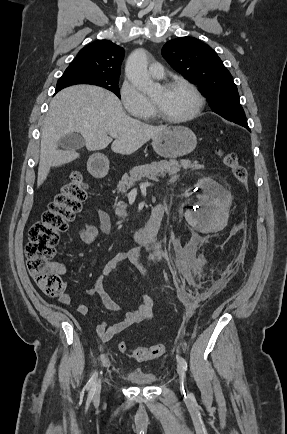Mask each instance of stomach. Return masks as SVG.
Wrapping results in <instances>:
<instances>
[{
	"instance_id": "obj_1",
	"label": "stomach",
	"mask_w": 287,
	"mask_h": 434,
	"mask_svg": "<svg viewBox=\"0 0 287 434\" xmlns=\"http://www.w3.org/2000/svg\"><path fill=\"white\" fill-rule=\"evenodd\" d=\"M197 145L196 135L187 127H167L162 133L152 139L154 151L164 158L174 159L191 153ZM95 159L106 162L101 154L93 155Z\"/></svg>"
}]
</instances>
